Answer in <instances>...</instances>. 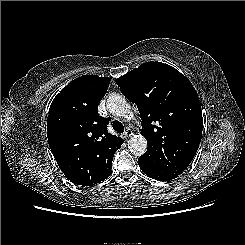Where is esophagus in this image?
<instances>
[{
	"label": "esophagus",
	"mask_w": 245,
	"mask_h": 245,
	"mask_svg": "<svg viewBox=\"0 0 245 245\" xmlns=\"http://www.w3.org/2000/svg\"><path fill=\"white\" fill-rule=\"evenodd\" d=\"M122 135L125 139H128L133 135V131L129 127H127Z\"/></svg>",
	"instance_id": "obj_1"
}]
</instances>
